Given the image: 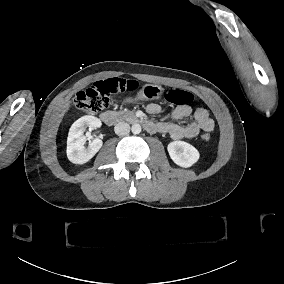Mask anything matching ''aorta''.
Masks as SVG:
<instances>
[{"label": "aorta", "mask_w": 284, "mask_h": 284, "mask_svg": "<svg viewBox=\"0 0 284 284\" xmlns=\"http://www.w3.org/2000/svg\"><path fill=\"white\" fill-rule=\"evenodd\" d=\"M131 130L133 134H139L141 132V126L139 124H133Z\"/></svg>", "instance_id": "1"}]
</instances>
